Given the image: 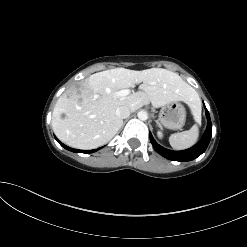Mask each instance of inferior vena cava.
<instances>
[{"label": "inferior vena cava", "instance_id": "inferior-vena-cava-1", "mask_svg": "<svg viewBox=\"0 0 247 247\" xmlns=\"http://www.w3.org/2000/svg\"><path fill=\"white\" fill-rule=\"evenodd\" d=\"M130 108L127 106H120L116 109V115L121 118V119H125L127 117H129L130 115Z\"/></svg>", "mask_w": 247, "mask_h": 247}]
</instances>
